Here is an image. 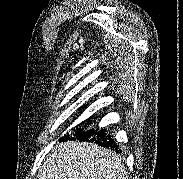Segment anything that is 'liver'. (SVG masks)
Segmentation results:
<instances>
[{"label": "liver", "mask_w": 183, "mask_h": 179, "mask_svg": "<svg viewBox=\"0 0 183 179\" xmlns=\"http://www.w3.org/2000/svg\"><path fill=\"white\" fill-rule=\"evenodd\" d=\"M119 156L89 142L57 144L46 156L38 179H124Z\"/></svg>", "instance_id": "liver-1"}]
</instances>
